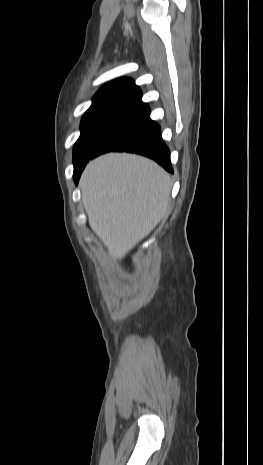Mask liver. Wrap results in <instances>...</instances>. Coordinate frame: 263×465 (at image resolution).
Returning a JSON list of instances; mask_svg holds the SVG:
<instances>
[{
  "instance_id": "1",
  "label": "liver",
  "mask_w": 263,
  "mask_h": 465,
  "mask_svg": "<svg viewBox=\"0 0 263 465\" xmlns=\"http://www.w3.org/2000/svg\"><path fill=\"white\" fill-rule=\"evenodd\" d=\"M80 188L90 227L121 260L167 215L172 182L150 159L109 153L88 163Z\"/></svg>"
}]
</instances>
